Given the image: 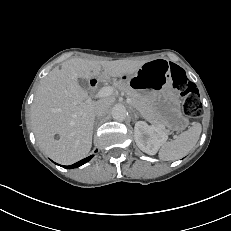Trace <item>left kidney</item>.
Wrapping results in <instances>:
<instances>
[{
    "instance_id": "obj_1",
    "label": "left kidney",
    "mask_w": 231,
    "mask_h": 231,
    "mask_svg": "<svg viewBox=\"0 0 231 231\" xmlns=\"http://www.w3.org/2000/svg\"><path fill=\"white\" fill-rule=\"evenodd\" d=\"M134 137L137 146L145 153L154 155L167 140V135L157 126H150L144 121H138L134 127Z\"/></svg>"
}]
</instances>
